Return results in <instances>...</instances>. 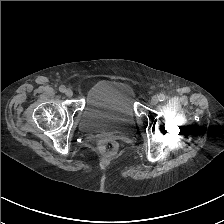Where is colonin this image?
Listing matches in <instances>:
<instances>
[{"instance_id":"1","label":"colon","mask_w":224,"mask_h":224,"mask_svg":"<svg viewBox=\"0 0 224 224\" xmlns=\"http://www.w3.org/2000/svg\"><path fill=\"white\" fill-rule=\"evenodd\" d=\"M100 148L103 152L107 154H112L116 152L118 145L115 141L112 140H103L100 143Z\"/></svg>"}]
</instances>
